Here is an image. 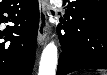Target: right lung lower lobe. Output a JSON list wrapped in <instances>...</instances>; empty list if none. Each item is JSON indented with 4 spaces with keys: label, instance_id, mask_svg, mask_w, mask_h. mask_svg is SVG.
<instances>
[{
    "label": "right lung lower lobe",
    "instance_id": "right-lung-lower-lobe-1",
    "mask_svg": "<svg viewBox=\"0 0 107 75\" xmlns=\"http://www.w3.org/2000/svg\"><path fill=\"white\" fill-rule=\"evenodd\" d=\"M15 25L0 29V75H31L39 25L38 0H2L0 24Z\"/></svg>",
    "mask_w": 107,
    "mask_h": 75
}]
</instances>
